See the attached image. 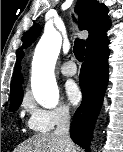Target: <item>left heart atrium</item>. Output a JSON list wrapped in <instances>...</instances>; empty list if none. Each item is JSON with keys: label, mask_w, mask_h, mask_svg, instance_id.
I'll return each instance as SVG.
<instances>
[{"label": "left heart atrium", "mask_w": 123, "mask_h": 152, "mask_svg": "<svg viewBox=\"0 0 123 152\" xmlns=\"http://www.w3.org/2000/svg\"><path fill=\"white\" fill-rule=\"evenodd\" d=\"M65 94L68 101L72 105H77L81 100V91L78 85L74 81H68L65 84Z\"/></svg>", "instance_id": "left-heart-atrium-1"}]
</instances>
